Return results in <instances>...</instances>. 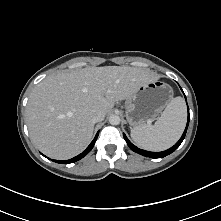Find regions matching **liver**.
Returning a JSON list of instances; mask_svg holds the SVG:
<instances>
[{"label": "liver", "mask_w": 221, "mask_h": 221, "mask_svg": "<svg viewBox=\"0 0 221 221\" xmlns=\"http://www.w3.org/2000/svg\"><path fill=\"white\" fill-rule=\"evenodd\" d=\"M159 76L143 68L87 67L46 77L35 86L26 107L30 137L41 152L66 160L90 143L96 113L132 96Z\"/></svg>", "instance_id": "6515ba94"}]
</instances>
